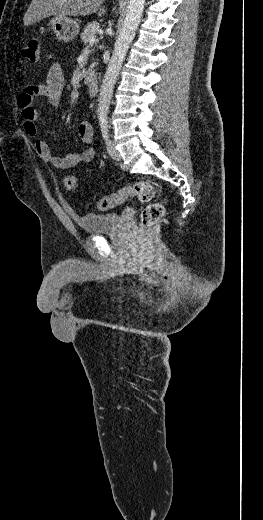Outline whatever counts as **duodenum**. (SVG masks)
I'll list each match as a JSON object with an SVG mask.
<instances>
[{
  "label": "duodenum",
  "instance_id": "1",
  "mask_svg": "<svg viewBox=\"0 0 263 520\" xmlns=\"http://www.w3.org/2000/svg\"><path fill=\"white\" fill-rule=\"evenodd\" d=\"M88 92L90 96H95L98 93V82L93 77H88L87 79Z\"/></svg>",
  "mask_w": 263,
  "mask_h": 520
}]
</instances>
